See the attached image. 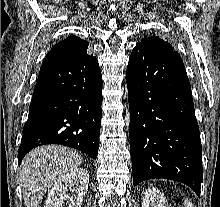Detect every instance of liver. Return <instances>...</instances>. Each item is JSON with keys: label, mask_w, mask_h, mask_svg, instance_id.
<instances>
[{"label": "liver", "mask_w": 220, "mask_h": 207, "mask_svg": "<svg viewBox=\"0 0 220 207\" xmlns=\"http://www.w3.org/2000/svg\"><path fill=\"white\" fill-rule=\"evenodd\" d=\"M81 163L82 157L78 152L64 146L46 145L31 150L19 169L25 206L39 207L52 184Z\"/></svg>", "instance_id": "1"}]
</instances>
